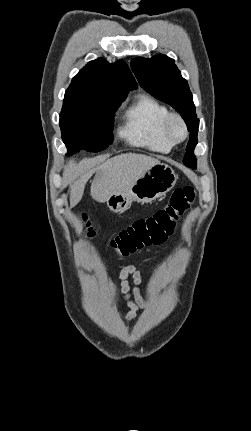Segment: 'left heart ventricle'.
I'll list each match as a JSON object with an SVG mask.
<instances>
[{"mask_svg": "<svg viewBox=\"0 0 251 431\" xmlns=\"http://www.w3.org/2000/svg\"><path fill=\"white\" fill-rule=\"evenodd\" d=\"M173 131L177 137H181L183 135V130H182L181 126L177 123L174 124Z\"/></svg>", "mask_w": 251, "mask_h": 431, "instance_id": "left-heart-ventricle-1", "label": "left heart ventricle"}]
</instances>
